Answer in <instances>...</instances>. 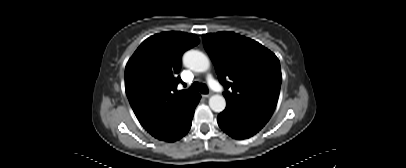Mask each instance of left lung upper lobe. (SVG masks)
I'll return each mask as SVG.
<instances>
[{
  "label": "left lung upper lobe",
  "mask_w": 406,
  "mask_h": 168,
  "mask_svg": "<svg viewBox=\"0 0 406 168\" xmlns=\"http://www.w3.org/2000/svg\"><path fill=\"white\" fill-rule=\"evenodd\" d=\"M227 102L272 115L279 96L280 62L258 42L233 32L203 35Z\"/></svg>",
  "instance_id": "5c2ea615"
}]
</instances>
